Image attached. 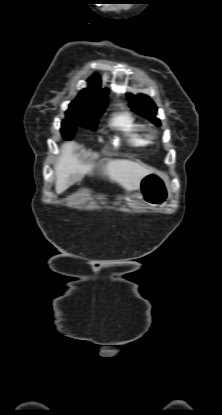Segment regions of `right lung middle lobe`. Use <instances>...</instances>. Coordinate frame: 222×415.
<instances>
[{"mask_svg": "<svg viewBox=\"0 0 222 415\" xmlns=\"http://www.w3.org/2000/svg\"><path fill=\"white\" fill-rule=\"evenodd\" d=\"M103 110H92L85 108H69L66 112V118L62 121L61 132L63 137L71 139L76 132V125L95 130L98 118Z\"/></svg>", "mask_w": 222, "mask_h": 415, "instance_id": "1", "label": "right lung middle lobe"}]
</instances>
